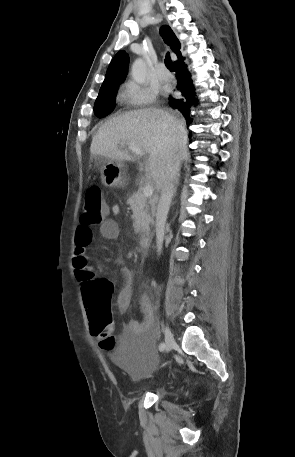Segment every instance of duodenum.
I'll return each mask as SVG.
<instances>
[{
  "label": "duodenum",
  "mask_w": 295,
  "mask_h": 457,
  "mask_svg": "<svg viewBox=\"0 0 295 457\" xmlns=\"http://www.w3.org/2000/svg\"><path fill=\"white\" fill-rule=\"evenodd\" d=\"M151 244V236L150 235H143L140 238V249L143 254H146L148 252V249Z\"/></svg>",
  "instance_id": "410a0bca"
}]
</instances>
